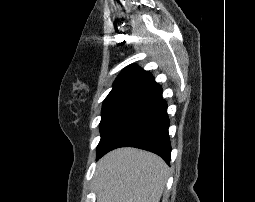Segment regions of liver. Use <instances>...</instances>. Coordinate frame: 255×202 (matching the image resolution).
<instances>
[{
  "instance_id": "6515ba94",
  "label": "liver",
  "mask_w": 255,
  "mask_h": 202,
  "mask_svg": "<svg viewBox=\"0 0 255 202\" xmlns=\"http://www.w3.org/2000/svg\"><path fill=\"white\" fill-rule=\"evenodd\" d=\"M168 169L151 152L130 147L113 150L96 168L97 202H159Z\"/></svg>"
}]
</instances>
